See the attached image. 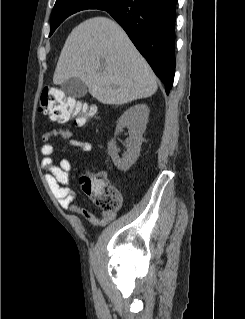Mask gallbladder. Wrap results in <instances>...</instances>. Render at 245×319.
I'll return each instance as SVG.
<instances>
[{
    "mask_svg": "<svg viewBox=\"0 0 245 319\" xmlns=\"http://www.w3.org/2000/svg\"><path fill=\"white\" fill-rule=\"evenodd\" d=\"M64 93L73 98H81L87 94V86L80 78H70L61 85Z\"/></svg>",
    "mask_w": 245,
    "mask_h": 319,
    "instance_id": "obj_1",
    "label": "gallbladder"
}]
</instances>
